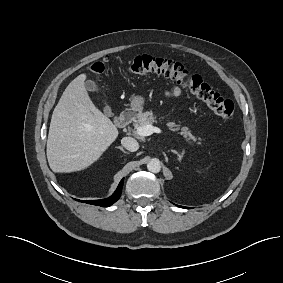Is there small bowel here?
Instances as JSON below:
<instances>
[{
	"instance_id": "small-bowel-1",
	"label": "small bowel",
	"mask_w": 283,
	"mask_h": 283,
	"mask_svg": "<svg viewBox=\"0 0 283 283\" xmlns=\"http://www.w3.org/2000/svg\"><path fill=\"white\" fill-rule=\"evenodd\" d=\"M182 94V90L179 87H173L165 92L167 97H179Z\"/></svg>"
}]
</instances>
